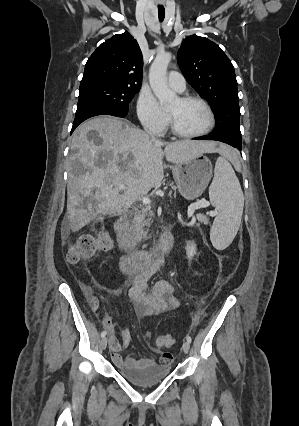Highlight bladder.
Segmentation results:
<instances>
[{"label": "bladder", "mask_w": 299, "mask_h": 426, "mask_svg": "<svg viewBox=\"0 0 299 426\" xmlns=\"http://www.w3.org/2000/svg\"><path fill=\"white\" fill-rule=\"evenodd\" d=\"M120 375L138 387H152L161 383L170 373L168 366H150L144 368L119 370Z\"/></svg>", "instance_id": "1"}]
</instances>
